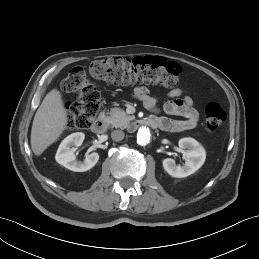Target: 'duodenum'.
Instances as JSON below:
<instances>
[{
  "mask_svg": "<svg viewBox=\"0 0 259 259\" xmlns=\"http://www.w3.org/2000/svg\"><path fill=\"white\" fill-rule=\"evenodd\" d=\"M134 127L140 128L143 126L151 128H161V122L159 119L150 117L146 119H138L133 123ZM107 122L104 117H97L92 123V131L96 134H103L106 131Z\"/></svg>",
  "mask_w": 259,
  "mask_h": 259,
  "instance_id": "duodenum-1",
  "label": "duodenum"
}]
</instances>
